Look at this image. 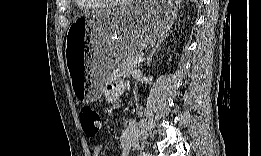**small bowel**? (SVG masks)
<instances>
[{
  "mask_svg": "<svg viewBox=\"0 0 261 156\" xmlns=\"http://www.w3.org/2000/svg\"><path fill=\"white\" fill-rule=\"evenodd\" d=\"M123 90V84L121 82L109 83L105 90L106 98L112 101L117 95H119ZM137 144V128L136 123L131 121L123 129L122 138L119 143L121 150V156H128L130 154L131 148ZM103 154V146L96 145L93 149L92 156H101Z\"/></svg>",
  "mask_w": 261,
  "mask_h": 156,
  "instance_id": "1",
  "label": "small bowel"
}]
</instances>
